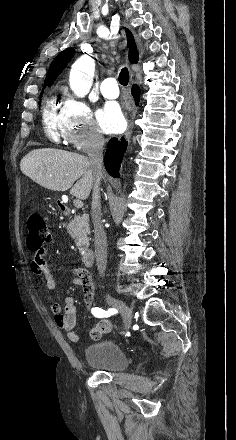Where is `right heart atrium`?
Instances as JSON below:
<instances>
[{"mask_svg":"<svg viewBox=\"0 0 236 440\" xmlns=\"http://www.w3.org/2000/svg\"><path fill=\"white\" fill-rule=\"evenodd\" d=\"M63 139L79 151L99 149L104 143L89 105L67 94L60 110Z\"/></svg>","mask_w":236,"mask_h":440,"instance_id":"d8ad5b80","label":"right heart atrium"}]
</instances>
